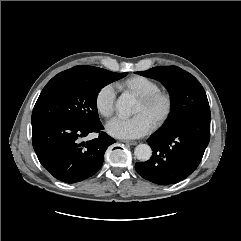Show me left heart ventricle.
<instances>
[{"label": "left heart ventricle", "instance_id": "b2bd125f", "mask_svg": "<svg viewBox=\"0 0 241 241\" xmlns=\"http://www.w3.org/2000/svg\"><path fill=\"white\" fill-rule=\"evenodd\" d=\"M161 109H162L161 103H157V104L153 105L152 107L146 108L140 102H138L136 109H135V113L136 114H139V113L145 114L147 116V118L151 121V123H153L155 117L160 113Z\"/></svg>", "mask_w": 241, "mask_h": 241}]
</instances>
